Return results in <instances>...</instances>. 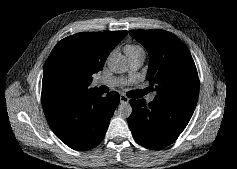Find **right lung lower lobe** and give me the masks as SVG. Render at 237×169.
I'll return each instance as SVG.
<instances>
[{
    "label": "right lung lower lobe",
    "mask_w": 237,
    "mask_h": 169,
    "mask_svg": "<svg viewBox=\"0 0 237 169\" xmlns=\"http://www.w3.org/2000/svg\"><path fill=\"white\" fill-rule=\"evenodd\" d=\"M119 100L115 91L102 97L96 88L88 89L46 111L45 116L61 141L74 150L85 151L102 141Z\"/></svg>",
    "instance_id": "obj_1"
}]
</instances>
